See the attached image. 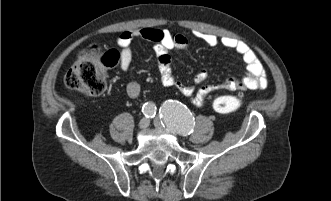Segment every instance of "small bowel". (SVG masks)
Returning <instances> with one entry per match:
<instances>
[{"label": "small bowel", "mask_w": 331, "mask_h": 201, "mask_svg": "<svg viewBox=\"0 0 331 201\" xmlns=\"http://www.w3.org/2000/svg\"><path fill=\"white\" fill-rule=\"evenodd\" d=\"M194 35L211 47L222 45L236 51L246 66V75L242 78L226 77L217 84L202 85L197 91L193 85H185L174 75L172 60L169 56L171 50H183L188 45V40L181 34L172 33L166 29L140 28L122 32L118 39L119 65L123 71L130 68L132 62V43L135 39H144L154 43V50L158 56L160 69V82L163 86L174 87L185 96H193L192 103L200 106L206 97L213 91L224 89L228 91L240 89H264L268 85L266 71L256 56L255 52L244 42L231 37H218L214 34L194 32ZM207 78V71L201 70L194 78L197 85L203 84ZM126 93L132 98H138L141 86L137 81H129L126 85Z\"/></svg>", "instance_id": "c3829d8e"}]
</instances>
